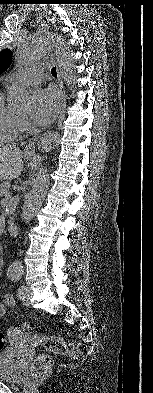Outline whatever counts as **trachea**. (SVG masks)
<instances>
[{
    "label": "trachea",
    "mask_w": 153,
    "mask_h": 393,
    "mask_svg": "<svg viewBox=\"0 0 153 393\" xmlns=\"http://www.w3.org/2000/svg\"><path fill=\"white\" fill-rule=\"evenodd\" d=\"M51 74H52L53 76H57L56 67H53V68L51 69Z\"/></svg>",
    "instance_id": "trachea-1"
}]
</instances>
